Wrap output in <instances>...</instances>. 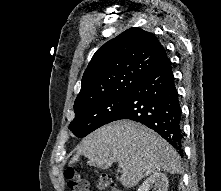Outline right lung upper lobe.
I'll return each mask as SVG.
<instances>
[{
	"label": "right lung upper lobe",
	"instance_id": "cb5924a9",
	"mask_svg": "<svg viewBox=\"0 0 221 191\" xmlns=\"http://www.w3.org/2000/svg\"><path fill=\"white\" fill-rule=\"evenodd\" d=\"M167 58L154 34L140 28L124 31L92 57L82 77L74 111L132 91Z\"/></svg>",
	"mask_w": 221,
	"mask_h": 191
}]
</instances>
